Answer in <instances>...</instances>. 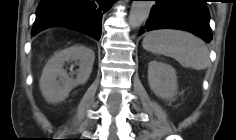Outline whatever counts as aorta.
Returning <instances> with one entry per match:
<instances>
[{
    "instance_id": "aorta-1",
    "label": "aorta",
    "mask_w": 236,
    "mask_h": 140,
    "mask_svg": "<svg viewBox=\"0 0 236 140\" xmlns=\"http://www.w3.org/2000/svg\"><path fill=\"white\" fill-rule=\"evenodd\" d=\"M152 1H133L128 23L132 28H138L141 24L146 21L149 16Z\"/></svg>"
}]
</instances>
